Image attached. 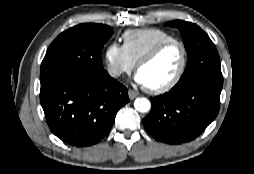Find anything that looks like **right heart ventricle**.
<instances>
[{"label":"right heart ventricle","instance_id":"obj_1","mask_svg":"<svg viewBox=\"0 0 254 174\" xmlns=\"http://www.w3.org/2000/svg\"><path fill=\"white\" fill-rule=\"evenodd\" d=\"M171 39L176 38L172 33L160 28L132 29L122 35L123 46L135 64L155 46Z\"/></svg>","mask_w":254,"mask_h":174}]
</instances>
